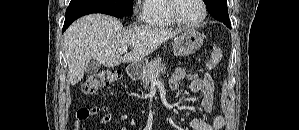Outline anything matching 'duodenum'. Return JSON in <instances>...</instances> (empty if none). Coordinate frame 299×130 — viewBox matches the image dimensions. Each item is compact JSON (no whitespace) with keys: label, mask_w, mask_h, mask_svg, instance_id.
<instances>
[{"label":"duodenum","mask_w":299,"mask_h":130,"mask_svg":"<svg viewBox=\"0 0 299 130\" xmlns=\"http://www.w3.org/2000/svg\"><path fill=\"white\" fill-rule=\"evenodd\" d=\"M127 75L130 77V78H135L136 77V71L133 67H128L127 68Z\"/></svg>","instance_id":"1"}]
</instances>
